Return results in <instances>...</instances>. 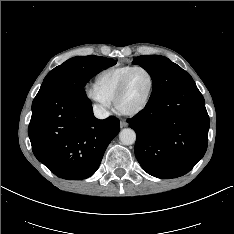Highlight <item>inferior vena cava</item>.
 Segmentation results:
<instances>
[{
  "mask_svg": "<svg viewBox=\"0 0 234 234\" xmlns=\"http://www.w3.org/2000/svg\"><path fill=\"white\" fill-rule=\"evenodd\" d=\"M93 112L95 117L98 119H105L110 115L109 112L100 104L93 106Z\"/></svg>",
  "mask_w": 234,
  "mask_h": 234,
  "instance_id": "inferior-vena-cava-1",
  "label": "inferior vena cava"
}]
</instances>
